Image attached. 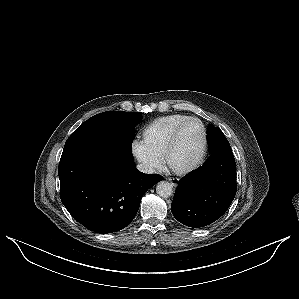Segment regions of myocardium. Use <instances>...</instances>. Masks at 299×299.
<instances>
[{"mask_svg": "<svg viewBox=\"0 0 299 299\" xmlns=\"http://www.w3.org/2000/svg\"><path fill=\"white\" fill-rule=\"evenodd\" d=\"M198 123L199 126L201 127V131H202V144H201V149H200V153L197 157V159L189 166L185 167V168H181V169H175L173 167H171L169 165V162H168V157H169V153L170 151L172 150L174 144H175V141H176V138L179 134V132L188 124L190 123ZM206 149H207V133H206V128L204 126V124L202 123L201 120H199L198 118H189L187 119L186 121H184L183 123H181L178 127L175 128V130L172 132V134L170 135L169 137V140L164 148V151H163V155H162V160H163V163H164V166L171 172H173L174 174L176 175H185V174H188L190 172H192L193 170H195L197 167H199V165L202 163L204 157H205V154H206Z\"/></svg>", "mask_w": 299, "mask_h": 299, "instance_id": "f54148a6", "label": "myocardium"}]
</instances>
